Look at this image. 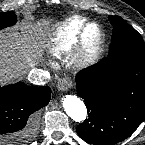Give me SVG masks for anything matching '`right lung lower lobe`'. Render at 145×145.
<instances>
[{"instance_id": "right-lung-lower-lobe-1", "label": "right lung lower lobe", "mask_w": 145, "mask_h": 145, "mask_svg": "<svg viewBox=\"0 0 145 145\" xmlns=\"http://www.w3.org/2000/svg\"><path fill=\"white\" fill-rule=\"evenodd\" d=\"M51 89L22 82L0 87V141L23 143L34 136V112L50 101Z\"/></svg>"}]
</instances>
